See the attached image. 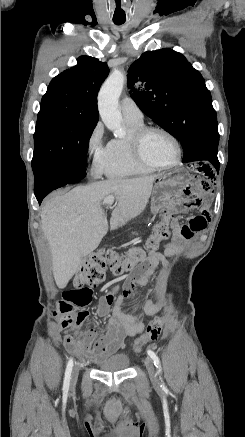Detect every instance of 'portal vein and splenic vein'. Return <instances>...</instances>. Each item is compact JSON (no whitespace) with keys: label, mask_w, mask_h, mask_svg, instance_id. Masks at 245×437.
<instances>
[{"label":"portal vein and splenic vein","mask_w":245,"mask_h":437,"mask_svg":"<svg viewBox=\"0 0 245 437\" xmlns=\"http://www.w3.org/2000/svg\"><path fill=\"white\" fill-rule=\"evenodd\" d=\"M113 202H114V197H113V196H108V197H106V198L104 199L103 204H104L106 207H110V206L113 204Z\"/></svg>","instance_id":"obj_1"}]
</instances>
